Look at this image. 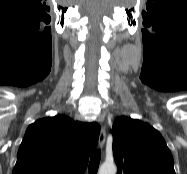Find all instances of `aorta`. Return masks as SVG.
Returning a JSON list of instances; mask_svg holds the SVG:
<instances>
[{"mask_svg": "<svg viewBox=\"0 0 187 174\" xmlns=\"http://www.w3.org/2000/svg\"><path fill=\"white\" fill-rule=\"evenodd\" d=\"M117 168L113 163H103L99 168V174H116Z\"/></svg>", "mask_w": 187, "mask_h": 174, "instance_id": "aorta-1", "label": "aorta"}]
</instances>
